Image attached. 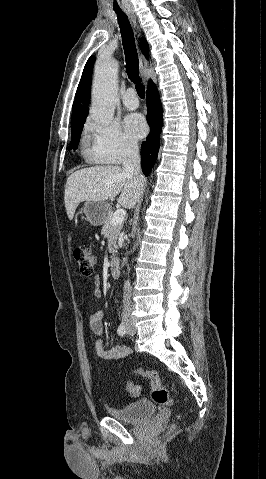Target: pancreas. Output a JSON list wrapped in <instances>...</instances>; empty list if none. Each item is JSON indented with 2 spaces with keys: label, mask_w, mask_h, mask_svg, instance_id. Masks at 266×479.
Instances as JSON below:
<instances>
[{
  "label": "pancreas",
  "mask_w": 266,
  "mask_h": 479,
  "mask_svg": "<svg viewBox=\"0 0 266 479\" xmlns=\"http://www.w3.org/2000/svg\"><path fill=\"white\" fill-rule=\"evenodd\" d=\"M114 213L110 212L104 221L101 234L108 239V250L109 253L114 255L117 252V239L120 234V231L123 227V224H113L112 217Z\"/></svg>",
  "instance_id": "obj_1"
}]
</instances>
